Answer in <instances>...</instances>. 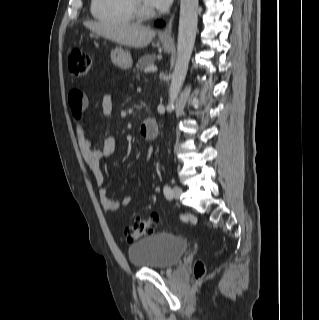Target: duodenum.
I'll return each instance as SVG.
<instances>
[{"instance_id": "410a0bca", "label": "duodenum", "mask_w": 319, "mask_h": 320, "mask_svg": "<svg viewBox=\"0 0 319 320\" xmlns=\"http://www.w3.org/2000/svg\"><path fill=\"white\" fill-rule=\"evenodd\" d=\"M159 126L154 118L145 119L140 125V134L147 139H154L158 136Z\"/></svg>"}]
</instances>
